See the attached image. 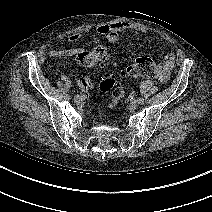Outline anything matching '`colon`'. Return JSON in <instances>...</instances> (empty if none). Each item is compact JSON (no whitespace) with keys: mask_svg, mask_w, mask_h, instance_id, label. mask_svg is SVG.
<instances>
[{"mask_svg":"<svg viewBox=\"0 0 212 212\" xmlns=\"http://www.w3.org/2000/svg\"><path fill=\"white\" fill-rule=\"evenodd\" d=\"M107 49L102 45H97L90 50L79 54L78 60L83 65L89 68H100L105 65L107 60ZM161 70L153 59L149 57H138L125 70L124 77L126 78H160ZM99 88L102 92H112L110 107L115 108L124 97V91L118 86L115 78L112 75H105Z\"/></svg>","mask_w":212,"mask_h":212,"instance_id":"obj_1","label":"colon"}]
</instances>
